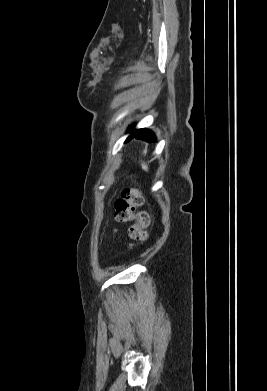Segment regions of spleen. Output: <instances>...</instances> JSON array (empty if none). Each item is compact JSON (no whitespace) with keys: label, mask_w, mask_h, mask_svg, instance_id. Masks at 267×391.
I'll return each instance as SVG.
<instances>
[{"label":"spleen","mask_w":267,"mask_h":391,"mask_svg":"<svg viewBox=\"0 0 267 391\" xmlns=\"http://www.w3.org/2000/svg\"><path fill=\"white\" fill-rule=\"evenodd\" d=\"M142 168H143L145 171L148 170V167H147V165H145V164H142Z\"/></svg>","instance_id":"3e777b00"}]
</instances>
